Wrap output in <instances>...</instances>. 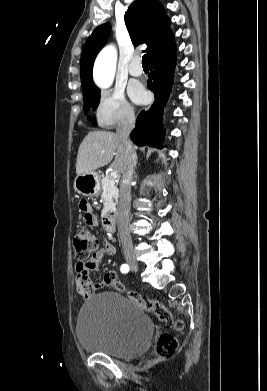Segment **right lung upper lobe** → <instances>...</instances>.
Masks as SVG:
<instances>
[{"instance_id": "obj_1", "label": "right lung upper lobe", "mask_w": 267, "mask_h": 391, "mask_svg": "<svg viewBox=\"0 0 267 391\" xmlns=\"http://www.w3.org/2000/svg\"><path fill=\"white\" fill-rule=\"evenodd\" d=\"M125 23L133 44L147 45L148 59L175 43L170 20L158 0L134 1L125 13ZM109 32L110 25L102 24L85 43L80 61L83 92L97 88L92 79V67L97 54L107 42Z\"/></svg>"}]
</instances>
